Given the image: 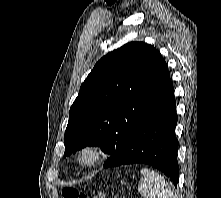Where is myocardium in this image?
<instances>
[{
    "mask_svg": "<svg viewBox=\"0 0 221 198\" xmlns=\"http://www.w3.org/2000/svg\"><path fill=\"white\" fill-rule=\"evenodd\" d=\"M106 155V147L97 142L81 146L77 151V161L83 168H92L102 162Z\"/></svg>",
    "mask_w": 221,
    "mask_h": 198,
    "instance_id": "obj_1",
    "label": "myocardium"
}]
</instances>
